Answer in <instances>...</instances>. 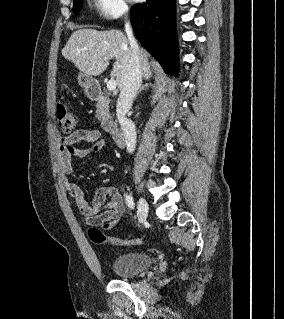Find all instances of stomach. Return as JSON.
Instances as JSON below:
<instances>
[{"label":"stomach","instance_id":"1","mask_svg":"<svg viewBox=\"0 0 284 319\" xmlns=\"http://www.w3.org/2000/svg\"><path fill=\"white\" fill-rule=\"evenodd\" d=\"M78 82L86 93H89L90 89L96 84V80L84 73L79 74Z\"/></svg>","mask_w":284,"mask_h":319}]
</instances>
